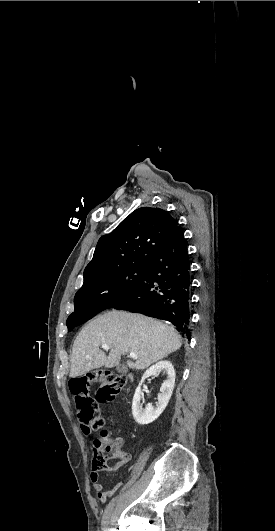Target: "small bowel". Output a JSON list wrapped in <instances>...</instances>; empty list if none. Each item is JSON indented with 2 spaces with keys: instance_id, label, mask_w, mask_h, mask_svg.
<instances>
[{
  "instance_id": "small-bowel-1",
  "label": "small bowel",
  "mask_w": 275,
  "mask_h": 531,
  "mask_svg": "<svg viewBox=\"0 0 275 531\" xmlns=\"http://www.w3.org/2000/svg\"><path fill=\"white\" fill-rule=\"evenodd\" d=\"M99 440H92L91 445L95 448L100 445ZM119 458L121 461L123 459H128L131 461V455L128 452L122 451L119 453ZM117 469H111V471H115ZM99 474L95 475L92 473L91 475V481L94 484V488L96 491V499L100 504H105L109 497L115 494V492L118 490L120 486H117L116 484L112 487H106L103 483L99 482Z\"/></svg>"
}]
</instances>
